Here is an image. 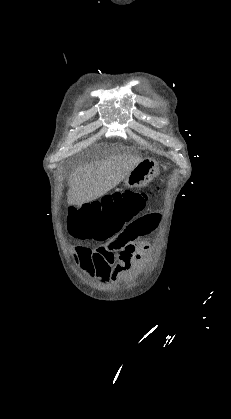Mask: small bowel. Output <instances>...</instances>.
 <instances>
[{"mask_svg":"<svg viewBox=\"0 0 231 419\" xmlns=\"http://www.w3.org/2000/svg\"><path fill=\"white\" fill-rule=\"evenodd\" d=\"M158 223V215H146L127 224L120 234L105 245L94 250L77 247L74 251L77 263L89 276L101 283L115 282L142 260L149 246L140 242L139 238L153 231Z\"/></svg>","mask_w":231,"mask_h":419,"instance_id":"1","label":"small bowel"}]
</instances>
